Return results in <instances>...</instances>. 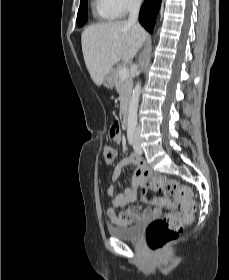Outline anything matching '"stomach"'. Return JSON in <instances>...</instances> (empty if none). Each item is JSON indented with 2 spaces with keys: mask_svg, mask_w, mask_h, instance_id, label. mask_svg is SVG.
Listing matches in <instances>:
<instances>
[{
  "mask_svg": "<svg viewBox=\"0 0 229 280\" xmlns=\"http://www.w3.org/2000/svg\"><path fill=\"white\" fill-rule=\"evenodd\" d=\"M103 85L104 87L111 89L114 87L115 85V72L114 69H112L111 71H109L103 80Z\"/></svg>",
  "mask_w": 229,
  "mask_h": 280,
  "instance_id": "0dacf381",
  "label": "stomach"
}]
</instances>
